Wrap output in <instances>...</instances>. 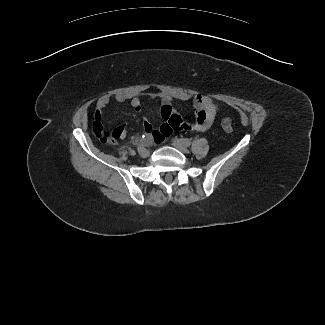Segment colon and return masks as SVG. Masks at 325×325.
I'll return each mask as SVG.
<instances>
[{
    "label": "colon",
    "mask_w": 325,
    "mask_h": 325,
    "mask_svg": "<svg viewBox=\"0 0 325 325\" xmlns=\"http://www.w3.org/2000/svg\"><path fill=\"white\" fill-rule=\"evenodd\" d=\"M222 127L223 129L230 133L233 130L231 120L228 118H225L222 120ZM93 131L96 137L100 140V142L104 144H110L115 142L119 138V132L118 130L108 131L104 129L102 123L95 121L93 124Z\"/></svg>",
    "instance_id": "colon-1"
}]
</instances>
